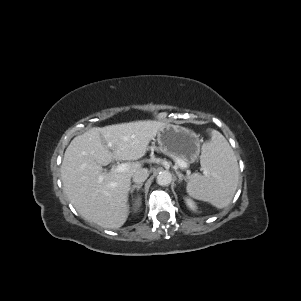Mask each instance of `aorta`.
Wrapping results in <instances>:
<instances>
[{
    "instance_id": "762f6f07",
    "label": "aorta",
    "mask_w": 301,
    "mask_h": 301,
    "mask_svg": "<svg viewBox=\"0 0 301 301\" xmlns=\"http://www.w3.org/2000/svg\"><path fill=\"white\" fill-rule=\"evenodd\" d=\"M156 181L159 185L161 186H165V185H168L171 183L172 181V175L169 171L167 170H164V171H161L157 178H156Z\"/></svg>"
}]
</instances>
